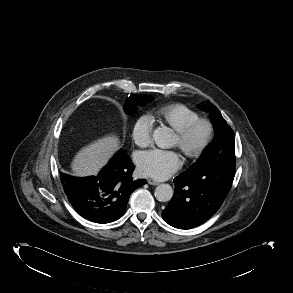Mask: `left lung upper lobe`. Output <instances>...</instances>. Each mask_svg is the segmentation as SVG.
<instances>
[{
	"label": "left lung upper lobe",
	"instance_id": "1",
	"mask_svg": "<svg viewBox=\"0 0 293 293\" xmlns=\"http://www.w3.org/2000/svg\"><path fill=\"white\" fill-rule=\"evenodd\" d=\"M199 108L209 112L215 129L214 141L202 152L198 161L188 169H221L229 164L235 165L234 133L217 107L209 101Z\"/></svg>",
	"mask_w": 293,
	"mask_h": 293
}]
</instances>
